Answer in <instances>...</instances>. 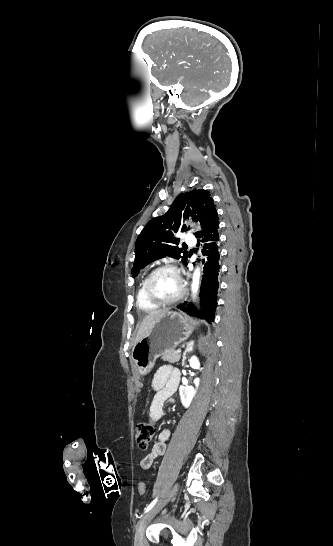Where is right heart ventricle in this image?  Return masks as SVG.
<instances>
[{
	"mask_svg": "<svg viewBox=\"0 0 333 546\" xmlns=\"http://www.w3.org/2000/svg\"><path fill=\"white\" fill-rule=\"evenodd\" d=\"M145 280L146 278H144L142 280V282L140 283V286L138 288V291H137V295H136V300H137V306L139 309H141L142 311H145V312H152V311H155L156 309H158V306L151 303L145 296V292H144V283H145Z\"/></svg>",
	"mask_w": 333,
	"mask_h": 546,
	"instance_id": "obj_1",
	"label": "right heart ventricle"
}]
</instances>
